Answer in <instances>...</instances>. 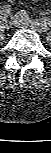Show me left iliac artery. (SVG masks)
Listing matches in <instances>:
<instances>
[{"label": "left iliac artery", "mask_w": 51, "mask_h": 153, "mask_svg": "<svg viewBox=\"0 0 51 153\" xmlns=\"http://www.w3.org/2000/svg\"><path fill=\"white\" fill-rule=\"evenodd\" d=\"M21 17L24 18V20H28L31 24L38 25L45 30L51 26L50 17H42L40 19L33 20L29 18V15L24 10H21Z\"/></svg>", "instance_id": "obj_1"}]
</instances>
